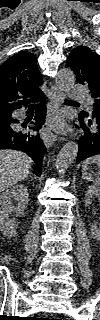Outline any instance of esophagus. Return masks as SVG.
<instances>
[{"mask_svg":"<svg viewBox=\"0 0 100 320\" xmlns=\"http://www.w3.org/2000/svg\"><path fill=\"white\" fill-rule=\"evenodd\" d=\"M64 94L55 86L51 87V108L47 114L46 122L40 130V136L47 148L51 147L57 140V135L52 131L51 121L54 112L62 105Z\"/></svg>","mask_w":100,"mask_h":320,"instance_id":"esophagus-1","label":"esophagus"}]
</instances>
